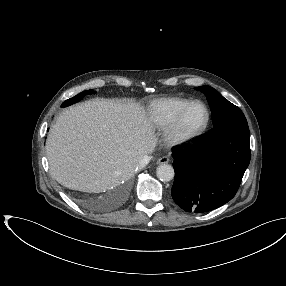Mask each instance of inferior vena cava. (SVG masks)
<instances>
[{
	"label": "inferior vena cava",
	"instance_id": "1",
	"mask_svg": "<svg viewBox=\"0 0 286 286\" xmlns=\"http://www.w3.org/2000/svg\"><path fill=\"white\" fill-rule=\"evenodd\" d=\"M150 161V157L148 155H145L137 164V168H143L146 166Z\"/></svg>",
	"mask_w": 286,
	"mask_h": 286
}]
</instances>
